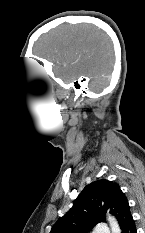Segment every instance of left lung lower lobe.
<instances>
[{
    "mask_svg": "<svg viewBox=\"0 0 145 233\" xmlns=\"http://www.w3.org/2000/svg\"><path fill=\"white\" fill-rule=\"evenodd\" d=\"M123 233H137L134 220H132L127 227L124 229Z\"/></svg>",
    "mask_w": 145,
    "mask_h": 233,
    "instance_id": "1",
    "label": "left lung lower lobe"
}]
</instances>
